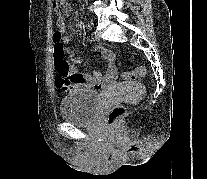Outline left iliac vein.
<instances>
[{
	"instance_id": "obj_1",
	"label": "left iliac vein",
	"mask_w": 207,
	"mask_h": 179,
	"mask_svg": "<svg viewBox=\"0 0 207 179\" xmlns=\"http://www.w3.org/2000/svg\"><path fill=\"white\" fill-rule=\"evenodd\" d=\"M91 27H92V29H96V28L99 27V24L98 23H92ZM94 38L97 39V40H100V34L97 31L94 32Z\"/></svg>"
}]
</instances>
